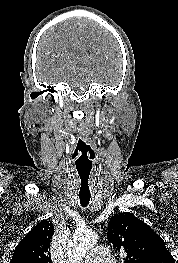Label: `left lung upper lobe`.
<instances>
[{"mask_svg": "<svg viewBox=\"0 0 178 263\" xmlns=\"http://www.w3.org/2000/svg\"><path fill=\"white\" fill-rule=\"evenodd\" d=\"M107 239L126 257L124 263H175L164 240L132 213L114 214Z\"/></svg>", "mask_w": 178, "mask_h": 263, "instance_id": "5c2ea615", "label": "left lung upper lobe"}]
</instances>
